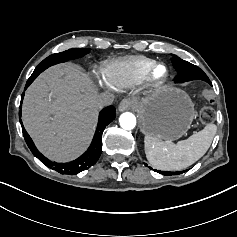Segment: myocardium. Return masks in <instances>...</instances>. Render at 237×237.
Listing matches in <instances>:
<instances>
[{
	"instance_id": "myocardium-1",
	"label": "myocardium",
	"mask_w": 237,
	"mask_h": 237,
	"mask_svg": "<svg viewBox=\"0 0 237 237\" xmlns=\"http://www.w3.org/2000/svg\"><path fill=\"white\" fill-rule=\"evenodd\" d=\"M158 67L164 68V74L161 77L155 76V71ZM168 77H169V69L167 65L164 64L163 62L152 63L144 75L145 81L155 86L164 84L167 81Z\"/></svg>"
}]
</instances>
